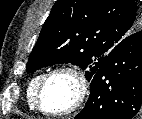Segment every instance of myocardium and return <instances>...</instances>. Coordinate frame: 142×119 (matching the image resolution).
Returning <instances> with one entry per match:
<instances>
[{
    "instance_id": "obj_1",
    "label": "myocardium",
    "mask_w": 142,
    "mask_h": 119,
    "mask_svg": "<svg viewBox=\"0 0 142 119\" xmlns=\"http://www.w3.org/2000/svg\"><path fill=\"white\" fill-rule=\"evenodd\" d=\"M59 74H68L74 78L77 84V93L75 100L71 106H69L68 108L62 111H50L44 108L42 102V96L48 81L52 77ZM88 94H89V80L85 72L76 66L63 65L49 71L43 76L36 92V97H35L36 108L40 112L48 116H54V117L68 116L73 114L83 106V104L87 99Z\"/></svg>"
}]
</instances>
